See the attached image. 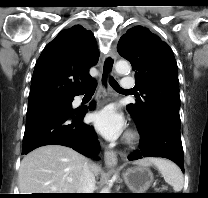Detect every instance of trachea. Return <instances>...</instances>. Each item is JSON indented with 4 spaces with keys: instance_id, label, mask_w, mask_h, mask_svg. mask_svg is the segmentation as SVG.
Segmentation results:
<instances>
[{
    "instance_id": "1",
    "label": "trachea",
    "mask_w": 208,
    "mask_h": 198,
    "mask_svg": "<svg viewBox=\"0 0 208 198\" xmlns=\"http://www.w3.org/2000/svg\"><path fill=\"white\" fill-rule=\"evenodd\" d=\"M110 85L111 87L116 90V91H124V89H122L118 82L114 79V78H110ZM95 85H91L89 88H88V91L90 92H94L95 91Z\"/></svg>"
}]
</instances>
